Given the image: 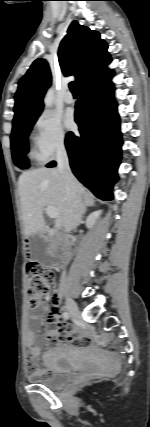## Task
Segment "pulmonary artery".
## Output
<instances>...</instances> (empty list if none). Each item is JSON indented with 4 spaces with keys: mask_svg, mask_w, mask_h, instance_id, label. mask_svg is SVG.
Listing matches in <instances>:
<instances>
[{
    "mask_svg": "<svg viewBox=\"0 0 150 427\" xmlns=\"http://www.w3.org/2000/svg\"><path fill=\"white\" fill-rule=\"evenodd\" d=\"M63 100L67 104H72L74 102V98L70 92L65 93Z\"/></svg>",
    "mask_w": 150,
    "mask_h": 427,
    "instance_id": "pulmonary-artery-1",
    "label": "pulmonary artery"
}]
</instances>
